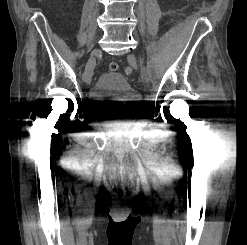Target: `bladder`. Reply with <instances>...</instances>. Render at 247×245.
Returning a JSON list of instances; mask_svg holds the SVG:
<instances>
[{
  "mask_svg": "<svg viewBox=\"0 0 247 245\" xmlns=\"http://www.w3.org/2000/svg\"><path fill=\"white\" fill-rule=\"evenodd\" d=\"M89 97L97 110H109L115 107L127 109L135 107L138 95L125 76L118 72L102 73L89 92Z\"/></svg>",
  "mask_w": 247,
  "mask_h": 245,
  "instance_id": "1",
  "label": "bladder"
}]
</instances>
